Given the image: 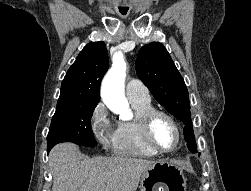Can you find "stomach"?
Returning a JSON list of instances; mask_svg holds the SVG:
<instances>
[{"label": "stomach", "instance_id": "1", "mask_svg": "<svg viewBox=\"0 0 251 191\" xmlns=\"http://www.w3.org/2000/svg\"><path fill=\"white\" fill-rule=\"evenodd\" d=\"M186 191V177L182 167L168 161H156L141 175L140 191Z\"/></svg>", "mask_w": 251, "mask_h": 191}]
</instances>
